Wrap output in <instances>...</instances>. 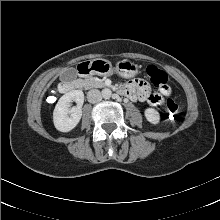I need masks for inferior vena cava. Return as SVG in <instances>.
I'll return each mask as SVG.
<instances>
[{"label": "inferior vena cava", "instance_id": "inferior-vena-cava-1", "mask_svg": "<svg viewBox=\"0 0 220 220\" xmlns=\"http://www.w3.org/2000/svg\"><path fill=\"white\" fill-rule=\"evenodd\" d=\"M87 99L90 103H97L102 100V94L97 89H92L87 93Z\"/></svg>", "mask_w": 220, "mask_h": 220}]
</instances>
